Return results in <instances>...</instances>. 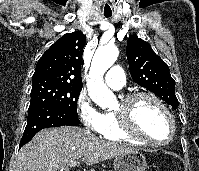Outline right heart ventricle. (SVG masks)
<instances>
[{
	"mask_svg": "<svg viewBox=\"0 0 199 171\" xmlns=\"http://www.w3.org/2000/svg\"><path fill=\"white\" fill-rule=\"evenodd\" d=\"M104 123L100 134L108 140L120 142H139L138 140L125 134L119 126V121L114 112L103 114Z\"/></svg>",
	"mask_w": 199,
	"mask_h": 171,
	"instance_id": "e07e8e85",
	"label": "right heart ventricle"
}]
</instances>
